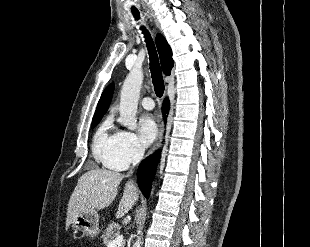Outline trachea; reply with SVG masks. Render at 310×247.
<instances>
[{
  "label": "trachea",
  "mask_w": 310,
  "mask_h": 247,
  "mask_svg": "<svg viewBox=\"0 0 310 247\" xmlns=\"http://www.w3.org/2000/svg\"><path fill=\"white\" fill-rule=\"evenodd\" d=\"M133 16L136 20L140 18L139 12L137 10L132 11ZM145 41L147 43L148 48V54L150 59V70H151V76L152 81L154 85L155 93L158 97H161L164 93V81L162 77V71L158 60L157 51L155 48V45L153 43V40L149 34V32L144 28V26L141 27Z\"/></svg>",
  "instance_id": "1"
}]
</instances>
